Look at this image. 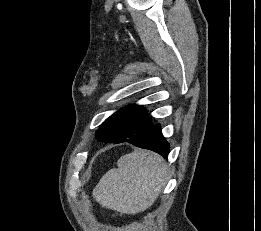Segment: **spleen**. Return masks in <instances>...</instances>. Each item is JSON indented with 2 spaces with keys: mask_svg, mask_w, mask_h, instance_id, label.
<instances>
[{
  "mask_svg": "<svg viewBox=\"0 0 261 231\" xmlns=\"http://www.w3.org/2000/svg\"><path fill=\"white\" fill-rule=\"evenodd\" d=\"M93 190V198L102 206L121 214H136L157 199L168 178L163 159L150 151L135 150L117 161Z\"/></svg>",
  "mask_w": 261,
  "mask_h": 231,
  "instance_id": "obj_1",
  "label": "spleen"
}]
</instances>
